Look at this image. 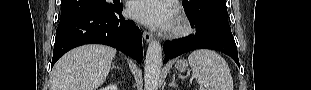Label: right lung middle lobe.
Listing matches in <instances>:
<instances>
[{"instance_id":"1","label":"right lung middle lobe","mask_w":311,"mask_h":90,"mask_svg":"<svg viewBox=\"0 0 311 90\" xmlns=\"http://www.w3.org/2000/svg\"><path fill=\"white\" fill-rule=\"evenodd\" d=\"M61 5L60 21L78 13L104 11L114 7L113 4H108L106 0H61Z\"/></svg>"}]
</instances>
